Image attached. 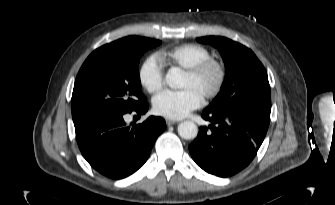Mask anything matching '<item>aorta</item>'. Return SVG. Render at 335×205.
I'll return each mask as SVG.
<instances>
[{
    "label": "aorta",
    "instance_id": "1",
    "mask_svg": "<svg viewBox=\"0 0 335 205\" xmlns=\"http://www.w3.org/2000/svg\"><path fill=\"white\" fill-rule=\"evenodd\" d=\"M165 81L171 88H180L182 86L181 74L179 69L171 68L168 70ZM178 134L183 139H194L198 134V127L192 121H184L178 125Z\"/></svg>",
    "mask_w": 335,
    "mask_h": 205
}]
</instances>
